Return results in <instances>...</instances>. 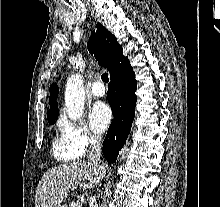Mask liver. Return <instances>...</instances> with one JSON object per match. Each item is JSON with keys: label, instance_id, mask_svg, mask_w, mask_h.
I'll list each match as a JSON object with an SVG mask.
<instances>
[{"label": "liver", "instance_id": "obj_1", "mask_svg": "<svg viewBox=\"0 0 220 207\" xmlns=\"http://www.w3.org/2000/svg\"><path fill=\"white\" fill-rule=\"evenodd\" d=\"M106 168L90 162H73L48 170L38 184L35 207H61L70 191L88 190L105 176Z\"/></svg>", "mask_w": 220, "mask_h": 207}]
</instances>
